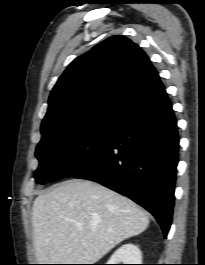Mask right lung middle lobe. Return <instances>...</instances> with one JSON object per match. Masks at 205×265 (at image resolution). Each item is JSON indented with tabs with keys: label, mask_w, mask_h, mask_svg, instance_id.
Returning <instances> with one entry per match:
<instances>
[{
	"label": "right lung middle lobe",
	"mask_w": 205,
	"mask_h": 265,
	"mask_svg": "<svg viewBox=\"0 0 205 265\" xmlns=\"http://www.w3.org/2000/svg\"><path fill=\"white\" fill-rule=\"evenodd\" d=\"M118 123L96 122L66 132H42L35 155L38 184L72 176L88 165L116 136Z\"/></svg>",
	"instance_id": "obj_1"
}]
</instances>
